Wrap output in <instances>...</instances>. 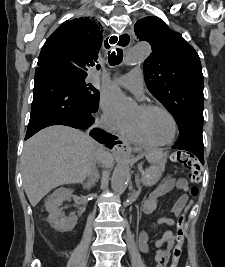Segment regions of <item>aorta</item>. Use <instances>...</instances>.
I'll list each match as a JSON object with an SVG mask.
<instances>
[{
	"instance_id": "762f6f07",
	"label": "aorta",
	"mask_w": 225,
	"mask_h": 267,
	"mask_svg": "<svg viewBox=\"0 0 225 267\" xmlns=\"http://www.w3.org/2000/svg\"><path fill=\"white\" fill-rule=\"evenodd\" d=\"M151 48L149 44L141 43L133 46L124 61L125 66H133L143 62L150 54ZM108 97L111 102L119 109L127 108L131 101L124 95L118 86H112L109 89ZM130 177L129 164L126 161H120L112 175L111 187L116 195H121L127 187Z\"/></svg>"
}]
</instances>
